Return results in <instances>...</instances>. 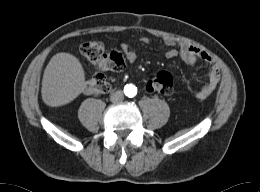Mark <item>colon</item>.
<instances>
[{"instance_id":"colon-1","label":"colon","mask_w":260,"mask_h":192,"mask_svg":"<svg viewBox=\"0 0 260 192\" xmlns=\"http://www.w3.org/2000/svg\"><path fill=\"white\" fill-rule=\"evenodd\" d=\"M80 52L83 57L99 71H122L125 67L123 56L116 52H107L105 44L100 40H91L81 44ZM111 89L104 74L98 73L86 82L84 90L89 95H102ZM146 90L151 94L170 95L173 92V77L162 71L149 79Z\"/></svg>"}]
</instances>
